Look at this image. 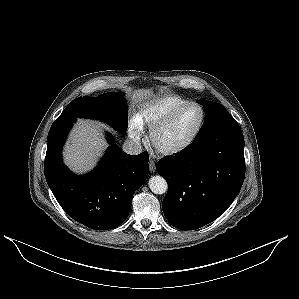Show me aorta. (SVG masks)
Returning <instances> with one entry per match:
<instances>
[{"label": "aorta", "mask_w": 299, "mask_h": 299, "mask_svg": "<svg viewBox=\"0 0 299 299\" xmlns=\"http://www.w3.org/2000/svg\"><path fill=\"white\" fill-rule=\"evenodd\" d=\"M149 188L155 194H164L168 189L167 181L162 176H152L149 179Z\"/></svg>", "instance_id": "1"}]
</instances>
